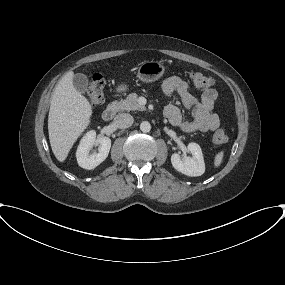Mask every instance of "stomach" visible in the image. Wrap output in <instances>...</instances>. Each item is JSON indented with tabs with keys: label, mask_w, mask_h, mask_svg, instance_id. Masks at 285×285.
<instances>
[{
	"label": "stomach",
	"mask_w": 285,
	"mask_h": 285,
	"mask_svg": "<svg viewBox=\"0 0 285 285\" xmlns=\"http://www.w3.org/2000/svg\"><path fill=\"white\" fill-rule=\"evenodd\" d=\"M165 69L162 61H145L137 67V77L144 83H151L160 79L164 75ZM128 89V85L125 83L118 85L116 88L118 92H125Z\"/></svg>",
	"instance_id": "1"
}]
</instances>
